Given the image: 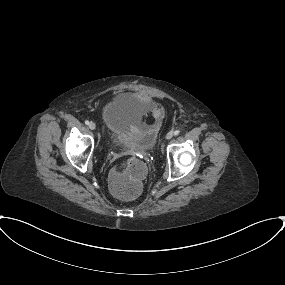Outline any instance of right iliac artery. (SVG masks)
<instances>
[{
  "mask_svg": "<svg viewBox=\"0 0 285 285\" xmlns=\"http://www.w3.org/2000/svg\"><path fill=\"white\" fill-rule=\"evenodd\" d=\"M85 124H86V125H89V121H88V120H86V121H85Z\"/></svg>",
  "mask_w": 285,
  "mask_h": 285,
  "instance_id": "right-iliac-artery-1",
  "label": "right iliac artery"
}]
</instances>
